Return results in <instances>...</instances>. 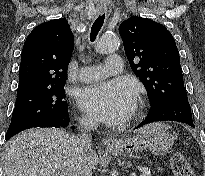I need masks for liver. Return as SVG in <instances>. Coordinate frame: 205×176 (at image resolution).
Instances as JSON below:
<instances>
[{
    "label": "liver",
    "mask_w": 205,
    "mask_h": 176,
    "mask_svg": "<svg viewBox=\"0 0 205 176\" xmlns=\"http://www.w3.org/2000/svg\"><path fill=\"white\" fill-rule=\"evenodd\" d=\"M81 159L87 163L81 165ZM97 165V153L92 150L81 157L69 133L54 128L31 129L7 143L3 176H78L83 167L92 171Z\"/></svg>",
    "instance_id": "liver-1"
}]
</instances>
